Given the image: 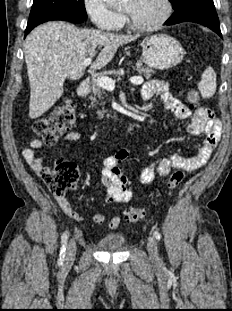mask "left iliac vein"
Returning <instances> with one entry per match:
<instances>
[{"label": "left iliac vein", "instance_id": "left-iliac-vein-1", "mask_svg": "<svg viewBox=\"0 0 232 311\" xmlns=\"http://www.w3.org/2000/svg\"><path fill=\"white\" fill-rule=\"evenodd\" d=\"M147 250H148L151 261L154 263H158L160 259L158 256L157 240L154 237L149 238L147 242Z\"/></svg>", "mask_w": 232, "mask_h": 311}]
</instances>
